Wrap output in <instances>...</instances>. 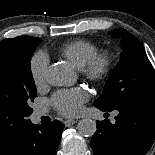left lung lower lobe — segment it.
I'll list each match as a JSON object with an SVG mask.
<instances>
[{
	"label": "left lung lower lobe",
	"instance_id": "left-lung-lower-lobe-1",
	"mask_svg": "<svg viewBox=\"0 0 155 155\" xmlns=\"http://www.w3.org/2000/svg\"><path fill=\"white\" fill-rule=\"evenodd\" d=\"M114 110L119 111L114 124L108 119L97 121L91 140L94 154L145 155L155 139V95L136 98Z\"/></svg>",
	"mask_w": 155,
	"mask_h": 155
}]
</instances>
